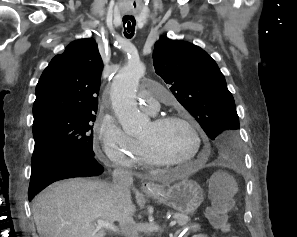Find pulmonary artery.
I'll return each mask as SVG.
<instances>
[{"instance_id": "pulmonary-artery-1", "label": "pulmonary artery", "mask_w": 297, "mask_h": 237, "mask_svg": "<svg viewBox=\"0 0 297 237\" xmlns=\"http://www.w3.org/2000/svg\"><path fill=\"white\" fill-rule=\"evenodd\" d=\"M163 92L164 90L155 86H144L139 93V105L150 112H155L160 102L168 100Z\"/></svg>"}]
</instances>
